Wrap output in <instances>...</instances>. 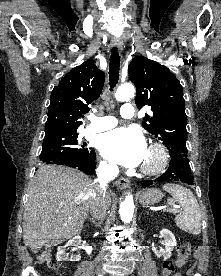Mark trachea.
<instances>
[{"mask_svg":"<svg viewBox=\"0 0 221 276\" xmlns=\"http://www.w3.org/2000/svg\"><path fill=\"white\" fill-rule=\"evenodd\" d=\"M112 53L109 62V80L110 87L112 90L119 80V69H120V56L117 48H112Z\"/></svg>","mask_w":221,"mask_h":276,"instance_id":"obj_1","label":"trachea"}]
</instances>
